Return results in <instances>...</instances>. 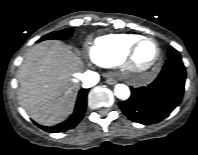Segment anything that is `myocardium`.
<instances>
[{
    "instance_id": "obj_1",
    "label": "myocardium",
    "mask_w": 198,
    "mask_h": 155,
    "mask_svg": "<svg viewBox=\"0 0 198 155\" xmlns=\"http://www.w3.org/2000/svg\"><path fill=\"white\" fill-rule=\"evenodd\" d=\"M151 41L156 45L157 53L154 60L146 65L141 66L138 64L136 60V53L139 46L146 42ZM162 59V49L158 43V41L152 37H141L130 47L127 55L124 59L127 71L134 77H144L153 75L158 69Z\"/></svg>"
}]
</instances>
